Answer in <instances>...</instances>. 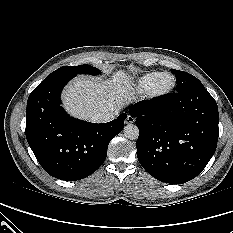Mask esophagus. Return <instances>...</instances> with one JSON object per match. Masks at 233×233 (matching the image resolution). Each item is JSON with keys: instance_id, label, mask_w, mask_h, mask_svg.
<instances>
[{"instance_id": "34e87169", "label": "esophagus", "mask_w": 233, "mask_h": 233, "mask_svg": "<svg viewBox=\"0 0 233 233\" xmlns=\"http://www.w3.org/2000/svg\"><path fill=\"white\" fill-rule=\"evenodd\" d=\"M134 122H135V118L133 116H131V115H128L126 120H125V123L126 124H132Z\"/></svg>"}]
</instances>
